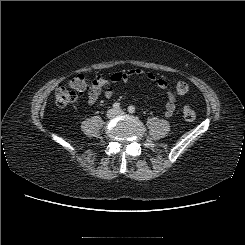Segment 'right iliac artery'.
I'll use <instances>...</instances> for the list:
<instances>
[{
    "label": "right iliac artery",
    "instance_id": "82829eb1",
    "mask_svg": "<svg viewBox=\"0 0 245 245\" xmlns=\"http://www.w3.org/2000/svg\"><path fill=\"white\" fill-rule=\"evenodd\" d=\"M113 108H114V109H120V103H117V102L114 103V104H113Z\"/></svg>",
    "mask_w": 245,
    "mask_h": 245
}]
</instances>
